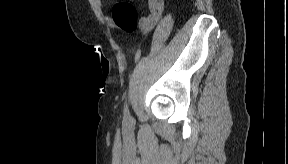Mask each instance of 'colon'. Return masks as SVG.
Here are the masks:
<instances>
[{"label":"colon","instance_id":"1","mask_svg":"<svg viewBox=\"0 0 288 164\" xmlns=\"http://www.w3.org/2000/svg\"><path fill=\"white\" fill-rule=\"evenodd\" d=\"M152 17H157L160 14L159 10L151 8ZM112 19L121 29L128 33H134L139 27V14L137 9L129 2H118L112 9ZM147 19V18H144ZM145 28H149V24H144Z\"/></svg>","mask_w":288,"mask_h":164}]
</instances>
